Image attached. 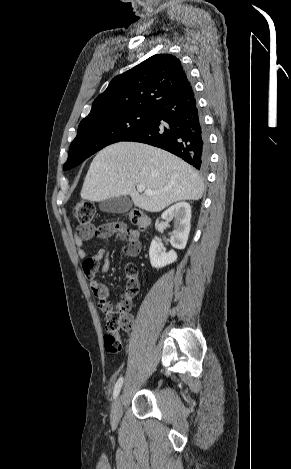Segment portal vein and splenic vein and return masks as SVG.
<instances>
[{"label":"portal vein and splenic vein","mask_w":291,"mask_h":469,"mask_svg":"<svg viewBox=\"0 0 291 469\" xmlns=\"http://www.w3.org/2000/svg\"><path fill=\"white\" fill-rule=\"evenodd\" d=\"M137 190H138L139 192H144L146 195H149V196L155 194V192H153V191H151V190H146V189H145V186L142 185V184L137 185Z\"/></svg>","instance_id":"18ae733b"}]
</instances>
